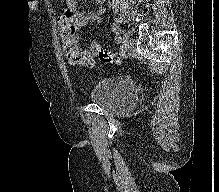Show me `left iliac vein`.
I'll return each instance as SVG.
<instances>
[{
  "label": "left iliac vein",
  "mask_w": 219,
  "mask_h": 192,
  "mask_svg": "<svg viewBox=\"0 0 219 192\" xmlns=\"http://www.w3.org/2000/svg\"><path fill=\"white\" fill-rule=\"evenodd\" d=\"M119 34H120V40H121V49H122V52L125 54L131 49L132 43L129 37L126 35V33L123 30H120Z\"/></svg>",
  "instance_id": "left-iliac-vein-1"
}]
</instances>
